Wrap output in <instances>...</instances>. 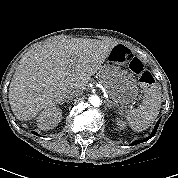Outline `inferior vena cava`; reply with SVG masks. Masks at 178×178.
<instances>
[{"mask_svg":"<svg viewBox=\"0 0 178 178\" xmlns=\"http://www.w3.org/2000/svg\"><path fill=\"white\" fill-rule=\"evenodd\" d=\"M82 92L80 90H77V89H73L71 91V93L67 96V98H71V97H74V96H77V95H80Z\"/></svg>","mask_w":178,"mask_h":178,"instance_id":"1","label":"inferior vena cava"}]
</instances>
